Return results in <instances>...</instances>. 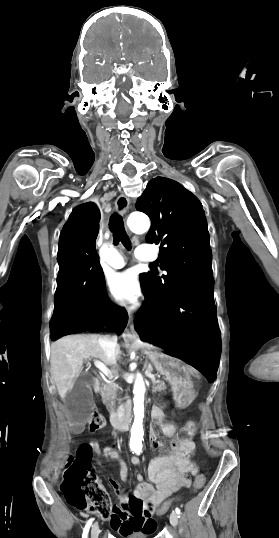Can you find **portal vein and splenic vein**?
I'll return each mask as SVG.
<instances>
[{
    "instance_id": "portal-vein-and-splenic-vein-1",
    "label": "portal vein and splenic vein",
    "mask_w": 279,
    "mask_h": 538,
    "mask_svg": "<svg viewBox=\"0 0 279 538\" xmlns=\"http://www.w3.org/2000/svg\"><path fill=\"white\" fill-rule=\"evenodd\" d=\"M94 366H96V368H99V370H101V372H103L105 376H108V378H112L110 370H108V368H106V366H104L102 362H98V360H96L94 361ZM155 383H160V380H155Z\"/></svg>"
}]
</instances>
